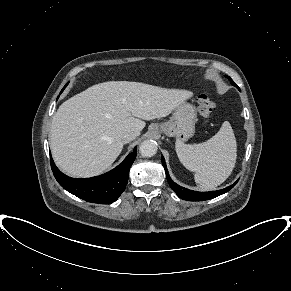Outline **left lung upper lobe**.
<instances>
[{
    "label": "left lung upper lobe",
    "instance_id": "left-lung-upper-lobe-1",
    "mask_svg": "<svg viewBox=\"0 0 291 291\" xmlns=\"http://www.w3.org/2000/svg\"><path fill=\"white\" fill-rule=\"evenodd\" d=\"M226 77L230 80V82H231L232 85H234V86L237 87V85L233 82V80L229 76H226Z\"/></svg>",
    "mask_w": 291,
    "mask_h": 291
}]
</instances>
